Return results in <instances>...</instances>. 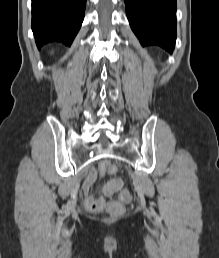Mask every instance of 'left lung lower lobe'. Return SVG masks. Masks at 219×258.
<instances>
[{"label":"left lung lower lobe","mask_w":219,"mask_h":258,"mask_svg":"<svg viewBox=\"0 0 219 258\" xmlns=\"http://www.w3.org/2000/svg\"><path fill=\"white\" fill-rule=\"evenodd\" d=\"M130 26L141 45L172 53L176 41V0H125Z\"/></svg>","instance_id":"1"}]
</instances>
